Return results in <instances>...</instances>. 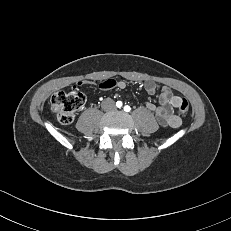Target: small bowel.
<instances>
[{
	"label": "small bowel",
	"instance_id": "c3829d8e",
	"mask_svg": "<svg viewBox=\"0 0 231 231\" xmlns=\"http://www.w3.org/2000/svg\"><path fill=\"white\" fill-rule=\"evenodd\" d=\"M101 87L104 89L119 88L124 89L126 84L124 81H117L115 79H107L101 83ZM146 92L150 95H155L158 89V85L151 80L144 83ZM182 97L173 93V91L163 86L159 96V104L156 105L151 102L145 104L149 111H152L160 125L164 127L178 128L181 125V118L175 114L174 109L178 108Z\"/></svg>",
	"mask_w": 231,
	"mask_h": 231
}]
</instances>
